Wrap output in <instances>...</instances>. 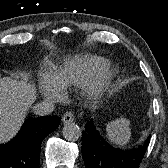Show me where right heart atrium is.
<instances>
[{
    "label": "right heart atrium",
    "instance_id": "d8ad5b80",
    "mask_svg": "<svg viewBox=\"0 0 168 168\" xmlns=\"http://www.w3.org/2000/svg\"><path fill=\"white\" fill-rule=\"evenodd\" d=\"M43 95L49 99L57 100L61 97L60 89L48 77H43L40 85Z\"/></svg>",
    "mask_w": 168,
    "mask_h": 168
}]
</instances>
